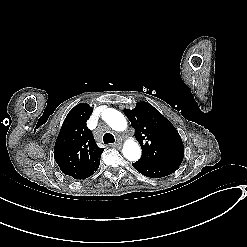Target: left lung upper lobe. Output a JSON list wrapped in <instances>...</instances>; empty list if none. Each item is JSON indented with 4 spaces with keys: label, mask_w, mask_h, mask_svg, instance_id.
Wrapping results in <instances>:
<instances>
[{
    "label": "left lung upper lobe",
    "mask_w": 247,
    "mask_h": 247,
    "mask_svg": "<svg viewBox=\"0 0 247 247\" xmlns=\"http://www.w3.org/2000/svg\"><path fill=\"white\" fill-rule=\"evenodd\" d=\"M124 113L135 129L142 156L149 161L177 170L184 158V145L176 128L151 104L140 101Z\"/></svg>",
    "instance_id": "obj_1"
}]
</instances>
